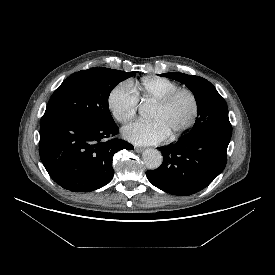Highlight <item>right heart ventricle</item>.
<instances>
[{"instance_id": "obj_1", "label": "right heart ventricle", "mask_w": 275, "mask_h": 275, "mask_svg": "<svg viewBox=\"0 0 275 275\" xmlns=\"http://www.w3.org/2000/svg\"><path fill=\"white\" fill-rule=\"evenodd\" d=\"M179 85L165 77H145L138 88V97L143 102L156 103Z\"/></svg>"}]
</instances>
